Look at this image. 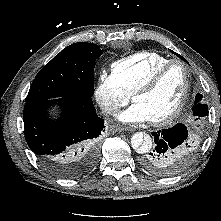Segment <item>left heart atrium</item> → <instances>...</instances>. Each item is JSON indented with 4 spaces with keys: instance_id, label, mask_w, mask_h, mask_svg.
Wrapping results in <instances>:
<instances>
[{
    "instance_id": "left-heart-atrium-1",
    "label": "left heart atrium",
    "mask_w": 221,
    "mask_h": 221,
    "mask_svg": "<svg viewBox=\"0 0 221 221\" xmlns=\"http://www.w3.org/2000/svg\"><path fill=\"white\" fill-rule=\"evenodd\" d=\"M118 119L121 122L130 124L151 121V118L145 108L138 103H134L128 109L121 112L118 115Z\"/></svg>"
}]
</instances>
